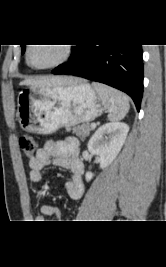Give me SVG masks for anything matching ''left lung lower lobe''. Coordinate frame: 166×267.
Returning a JSON list of instances; mask_svg holds the SVG:
<instances>
[{
    "label": "left lung lower lobe",
    "instance_id": "left-lung-lower-lobe-1",
    "mask_svg": "<svg viewBox=\"0 0 166 267\" xmlns=\"http://www.w3.org/2000/svg\"><path fill=\"white\" fill-rule=\"evenodd\" d=\"M101 82L127 93L140 110L143 95L141 45H77L71 59L52 70Z\"/></svg>",
    "mask_w": 166,
    "mask_h": 267
}]
</instances>
